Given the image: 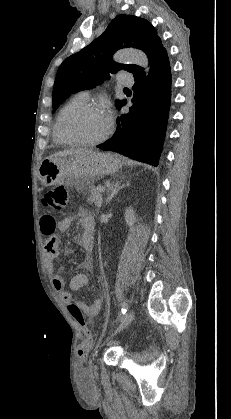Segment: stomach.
<instances>
[{
    "mask_svg": "<svg viewBox=\"0 0 231 419\" xmlns=\"http://www.w3.org/2000/svg\"><path fill=\"white\" fill-rule=\"evenodd\" d=\"M120 156L92 151L83 155L44 159L38 168V177L45 186L73 180L78 191H83L99 177L116 173L122 167Z\"/></svg>",
    "mask_w": 231,
    "mask_h": 419,
    "instance_id": "stomach-1",
    "label": "stomach"
}]
</instances>
